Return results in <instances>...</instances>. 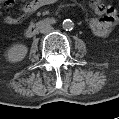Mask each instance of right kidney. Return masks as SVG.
Here are the masks:
<instances>
[{
	"instance_id": "obj_1",
	"label": "right kidney",
	"mask_w": 119,
	"mask_h": 119,
	"mask_svg": "<svg viewBox=\"0 0 119 119\" xmlns=\"http://www.w3.org/2000/svg\"><path fill=\"white\" fill-rule=\"evenodd\" d=\"M28 52V48L23 44H15L8 49L6 57L8 61L15 63L24 59Z\"/></svg>"
}]
</instances>
